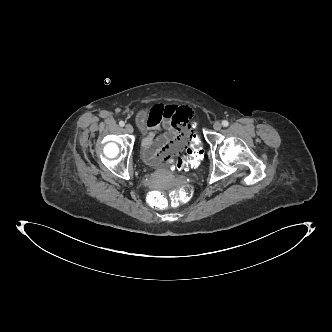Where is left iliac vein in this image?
<instances>
[{"instance_id": "obj_1", "label": "left iliac vein", "mask_w": 332, "mask_h": 332, "mask_svg": "<svg viewBox=\"0 0 332 332\" xmlns=\"http://www.w3.org/2000/svg\"><path fill=\"white\" fill-rule=\"evenodd\" d=\"M221 127H222V125H221L220 122H215V123L213 124V128H214V130H216V131H219V130L221 129Z\"/></svg>"}]
</instances>
